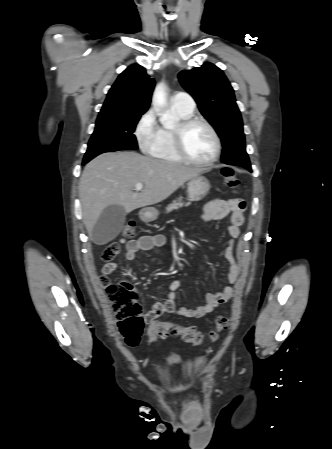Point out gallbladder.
Wrapping results in <instances>:
<instances>
[{
	"label": "gallbladder",
	"mask_w": 332,
	"mask_h": 449,
	"mask_svg": "<svg viewBox=\"0 0 332 449\" xmlns=\"http://www.w3.org/2000/svg\"><path fill=\"white\" fill-rule=\"evenodd\" d=\"M126 213L120 205L107 206L100 214L92 230V240L97 245H104L115 239L121 232Z\"/></svg>",
	"instance_id": "gallbladder-1"
}]
</instances>
